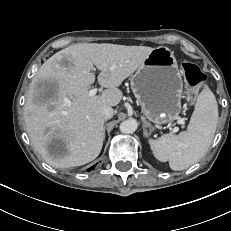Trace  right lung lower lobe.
Returning <instances> with one entry per match:
<instances>
[{"label": "right lung lower lobe", "mask_w": 231, "mask_h": 231, "mask_svg": "<svg viewBox=\"0 0 231 231\" xmlns=\"http://www.w3.org/2000/svg\"><path fill=\"white\" fill-rule=\"evenodd\" d=\"M92 169H94V166H93V167H91L90 169H88L87 171H90V170H92Z\"/></svg>", "instance_id": "1"}]
</instances>
